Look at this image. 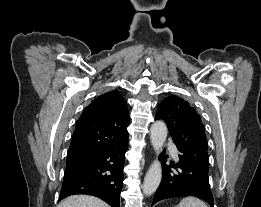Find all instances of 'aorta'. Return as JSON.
I'll return each mask as SVG.
<instances>
[{
  "label": "aorta",
  "mask_w": 261,
  "mask_h": 207,
  "mask_svg": "<svg viewBox=\"0 0 261 207\" xmlns=\"http://www.w3.org/2000/svg\"><path fill=\"white\" fill-rule=\"evenodd\" d=\"M167 138V126L162 121H157L152 124L150 128V139L151 144L157 153L160 154L162 147ZM162 178L161 164L158 159H156L149 167L143 183V193L146 196L152 195L158 188Z\"/></svg>",
  "instance_id": "obj_1"
}]
</instances>
